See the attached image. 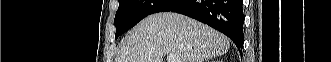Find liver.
<instances>
[{"label": "liver", "instance_id": "6515ba94", "mask_svg": "<svg viewBox=\"0 0 331 62\" xmlns=\"http://www.w3.org/2000/svg\"><path fill=\"white\" fill-rule=\"evenodd\" d=\"M226 36L187 16L164 12L143 19L123 39L115 62H163L173 54L176 62H204L225 54Z\"/></svg>", "mask_w": 331, "mask_h": 62}]
</instances>
